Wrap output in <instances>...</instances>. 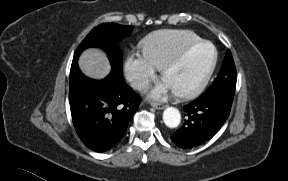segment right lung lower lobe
<instances>
[{"label":"right lung lower lobe","instance_id":"right-lung-lower-lobe-1","mask_svg":"<svg viewBox=\"0 0 288 181\" xmlns=\"http://www.w3.org/2000/svg\"><path fill=\"white\" fill-rule=\"evenodd\" d=\"M69 102L74 127L91 150L114 148L127 131L140 99L123 75L111 71L103 80L85 77L78 65L71 66Z\"/></svg>","mask_w":288,"mask_h":181}]
</instances>
